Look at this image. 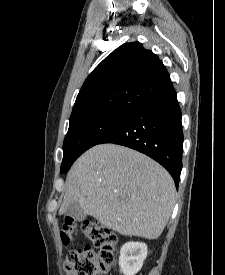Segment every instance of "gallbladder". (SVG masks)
<instances>
[{"instance_id": "gallbladder-1", "label": "gallbladder", "mask_w": 225, "mask_h": 275, "mask_svg": "<svg viewBox=\"0 0 225 275\" xmlns=\"http://www.w3.org/2000/svg\"><path fill=\"white\" fill-rule=\"evenodd\" d=\"M65 215L73 218L75 221H83L87 216L78 202L71 203L66 209Z\"/></svg>"}]
</instances>
